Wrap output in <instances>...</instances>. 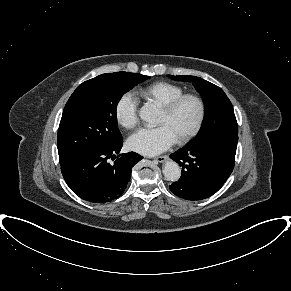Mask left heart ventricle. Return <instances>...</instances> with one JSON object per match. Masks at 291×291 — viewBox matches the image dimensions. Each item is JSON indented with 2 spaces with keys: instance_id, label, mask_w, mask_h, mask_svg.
<instances>
[{
  "instance_id": "b2bd125f",
  "label": "left heart ventricle",
  "mask_w": 291,
  "mask_h": 291,
  "mask_svg": "<svg viewBox=\"0 0 291 291\" xmlns=\"http://www.w3.org/2000/svg\"><path fill=\"white\" fill-rule=\"evenodd\" d=\"M198 116V106L195 101H184L173 114L161 111L158 125H166L170 128L176 139L186 135L194 126Z\"/></svg>"
}]
</instances>
